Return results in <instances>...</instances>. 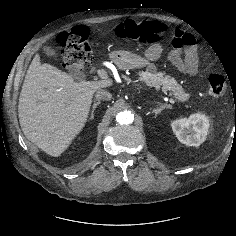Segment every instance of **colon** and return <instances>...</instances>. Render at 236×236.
<instances>
[{
	"mask_svg": "<svg viewBox=\"0 0 236 236\" xmlns=\"http://www.w3.org/2000/svg\"><path fill=\"white\" fill-rule=\"evenodd\" d=\"M164 25L158 21L127 20L116 28V35L140 43H156L165 33ZM90 32L80 25L61 32L57 37L58 45L63 49V64L68 69L84 72L91 61ZM227 82L221 74H211L208 78V92L214 97L222 96Z\"/></svg>",
	"mask_w": 236,
	"mask_h": 236,
	"instance_id": "1",
	"label": "colon"
}]
</instances>
